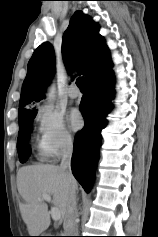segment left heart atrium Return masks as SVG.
<instances>
[{
  "label": "left heart atrium",
  "mask_w": 158,
  "mask_h": 237,
  "mask_svg": "<svg viewBox=\"0 0 158 237\" xmlns=\"http://www.w3.org/2000/svg\"><path fill=\"white\" fill-rule=\"evenodd\" d=\"M68 121L72 130H80L84 125V119L81 112L74 108L68 114Z\"/></svg>",
  "instance_id": "obj_1"
}]
</instances>
